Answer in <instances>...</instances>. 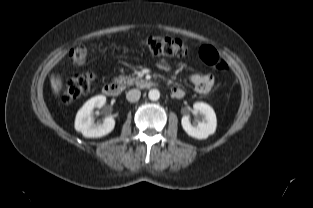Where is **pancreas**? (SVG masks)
I'll list each match as a JSON object with an SVG mask.
<instances>
[{"label": "pancreas", "mask_w": 313, "mask_h": 208, "mask_svg": "<svg viewBox=\"0 0 313 208\" xmlns=\"http://www.w3.org/2000/svg\"><path fill=\"white\" fill-rule=\"evenodd\" d=\"M116 81L119 83V84H127V85H133V84H138L139 83V78H132L130 76H124V75H121L119 76Z\"/></svg>", "instance_id": "cf45deb5"}]
</instances>
